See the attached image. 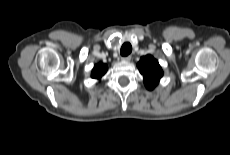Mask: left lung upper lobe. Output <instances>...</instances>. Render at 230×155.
<instances>
[{
	"mask_svg": "<svg viewBox=\"0 0 230 155\" xmlns=\"http://www.w3.org/2000/svg\"><path fill=\"white\" fill-rule=\"evenodd\" d=\"M137 67L144 77L146 88L153 90L163 76V71L158 61L152 55H146L140 58Z\"/></svg>",
	"mask_w": 230,
	"mask_h": 155,
	"instance_id": "left-lung-upper-lobe-1",
	"label": "left lung upper lobe"
}]
</instances>
